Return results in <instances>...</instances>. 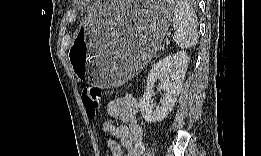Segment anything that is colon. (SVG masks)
Wrapping results in <instances>:
<instances>
[{
	"label": "colon",
	"mask_w": 261,
	"mask_h": 156,
	"mask_svg": "<svg viewBox=\"0 0 261 156\" xmlns=\"http://www.w3.org/2000/svg\"><path fill=\"white\" fill-rule=\"evenodd\" d=\"M82 101L89 118H94L103 107L102 94L98 88L88 87L82 91Z\"/></svg>",
	"instance_id": "5ec220e1"
}]
</instances>
